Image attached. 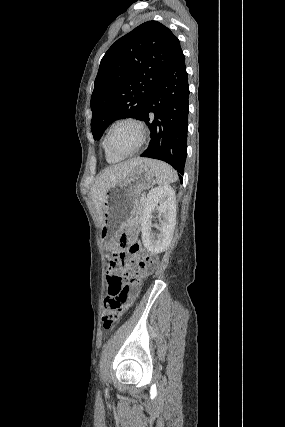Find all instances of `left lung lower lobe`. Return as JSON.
<instances>
[{"label": "left lung lower lobe", "instance_id": "left-lung-lower-lobe-1", "mask_svg": "<svg viewBox=\"0 0 285 427\" xmlns=\"http://www.w3.org/2000/svg\"><path fill=\"white\" fill-rule=\"evenodd\" d=\"M188 98V74L181 52L156 86L140 118L151 132L150 144L140 156L167 162L178 172L180 181L187 155Z\"/></svg>", "mask_w": 285, "mask_h": 427}]
</instances>
